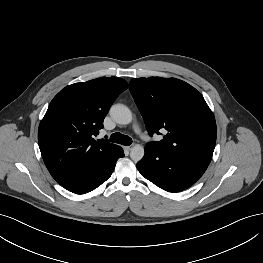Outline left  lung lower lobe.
Segmentation results:
<instances>
[{
	"label": "left lung lower lobe",
	"instance_id": "left-lung-lower-lobe-1",
	"mask_svg": "<svg viewBox=\"0 0 263 263\" xmlns=\"http://www.w3.org/2000/svg\"><path fill=\"white\" fill-rule=\"evenodd\" d=\"M208 165L186 158L171 151H159L145 147V155L137 163L141 175L156 186L180 192L194 184Z\"/></svg>",
	"mask_w": 263,
	"mask_h": 263
}]
</instances>
